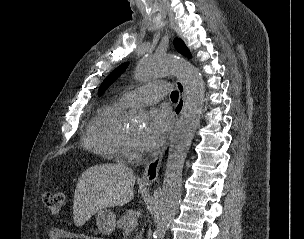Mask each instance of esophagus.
Masks as SVG:
<instances>
[{
    "label": "esophagus",
    "instance_id": "1",
    "mask_svg": "<svg viewBox=\"0 0 304 239\" xmlns=\"http://www.w3.org/2000/svg\"><path fill=\"white\" fill-rule=\"evenodd\" d=\"M176 86H177V89L179 92L178 102L176 103L175 108H174V114H175V118L177 121L184 108L185 98H186V89H185L183 82L178 78L176 79ZM169 140H170V138L168 139L167 143L163 147L162 151L147 164V166L141 176V181L143 183L152 184L158 179L159 169H160L164 154L166 152L167 146L169 144Z\"/></svg>",
    "mask_w": 304,
    "mask_h": 239
}]
</instances>
